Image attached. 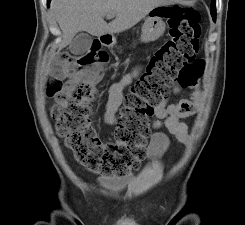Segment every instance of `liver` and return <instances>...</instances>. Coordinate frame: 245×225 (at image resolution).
<instances>
[{
  "label": "liver",
  "mask_w": 245,
  "mask_h": 225,
  "mask_svg": "<svg viewBox=\"0 0 245 225\" xmlns=\"http://www.w3.org/2000/svg\"><path fill=\"white\" fill-rule=\"evenodd\" d=\"M168 0H52L50 9L62 31L59 50L66 47L80 31L93 36L120 33L140 22L155 7ZM114 14L107 24L104 17Z\"/></svg>",
  "instance_id": "1"
}]
</instances>
